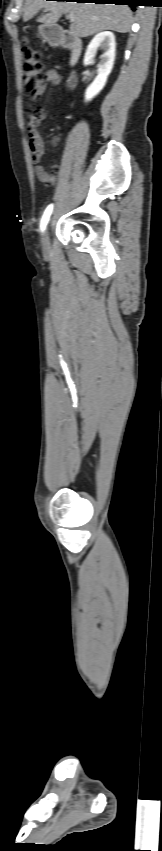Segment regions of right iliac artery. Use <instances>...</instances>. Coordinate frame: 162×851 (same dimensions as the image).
<instances>
[{"label": "right iliac artery", "mask_w": 162, "mask_h": 851, "mask_svg": "<svg viewBox=\"0 0 162 851\" xmlns=\"http://www.w3.org/2000/svg\"><path fill=\"white\" fill-rule=\"evenodd\" d=\"M52 210H53V205L51 204V205H49V206L46 208V210H45V212H44V214H43V217H42V220H41V230H42V231H44V230H45V227H46V225H47V223H48V221H49V218H50V215H51V213H52Z\"/></svg>", "instance_id": "right-iliac-artery-1"}]
</instances>
